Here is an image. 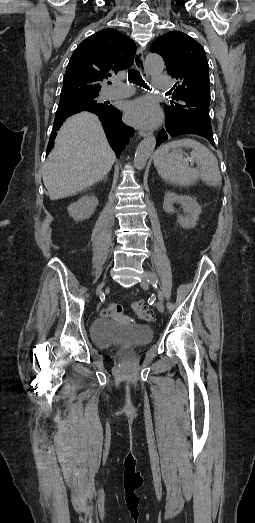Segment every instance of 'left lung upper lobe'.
<instances>
[{"label":"left lung upper lobe","instance_id":"5c2ea615","mask_svg":"<svg viewBox=\"0 0 255 523\" xmlns=\"http://www.w3.org/2000/svg\"><path fill=\"white\" fill-rule=\"evenodd\" d=\"M151 51L163 57L168 74L179 80L172 94L174 101L164 106L168 109L167 115L174 121L180 118V121L200 125L213 134L215 127H211L209 116V65L204 48L190 36L171 31L155 39Z\"/></svg>","mask_w":255,"mask_h":523}]
</instances>
